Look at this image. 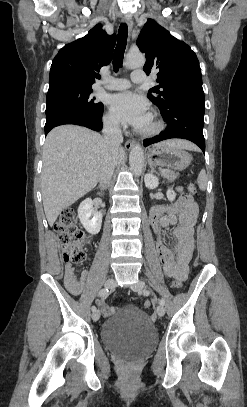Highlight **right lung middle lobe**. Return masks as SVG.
<instances>
[{
  "mask_svg": "<svg viewBox=\"0 0 247 407\" xmlns=\"http://www.w3.org/2000/svg\"><path fill=\"white\" fill-rule=\"evenodd\" d=\"M92 87H64L48 91L46 115L63 110L98 113L103 109L90 94Z\"/></svg>",
  "mask_w": 247,
  "mask_h": 407,
  "instance_id": "right-lung-middle-lobe-1",
  "label": "right lung middle lobe"
}]
</instances>
